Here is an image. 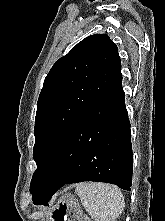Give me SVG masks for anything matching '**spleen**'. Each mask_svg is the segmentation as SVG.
<instances>
[{"mask_svg":"<svg viewBox=\"0 0 165 221\" xmlns=\"http://www.w3.org/2000/svg\"><path fill=\"white\" fill-rule=\"evenodd\" d=\"M75 192L89 215L97 221H115L124 210V197L116 186L80 183Z\"/></svg>","mask_w":165,"mask_h":221,"instance_id":"spleen-1","label":"spleen"}]
</instances>
